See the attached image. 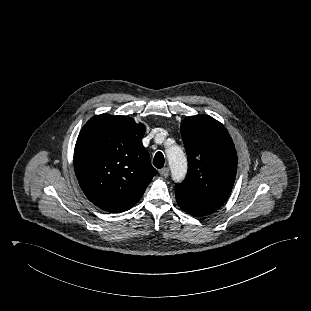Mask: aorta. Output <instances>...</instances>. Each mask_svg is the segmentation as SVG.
Segmentation results:
<instances>
[{"instance_id":"aorta-1","label":"aorta","mask_w":311,"mask_h":311,"mask_svg":"<svg viewBox=\"0 0 311 311\" xmlns=\"http://www.w3.org/2000/svg\"><path fill=\"white\" fill-rule=\"evenodd\" d=\"M169 161L172 179L174 182H180L184 179L187 173V161L183 150L176 145H173L166 150Z\"/></svg>"}]
</instances>
